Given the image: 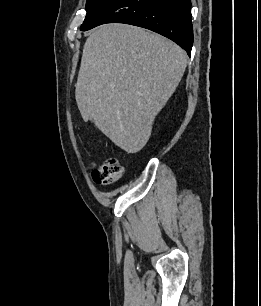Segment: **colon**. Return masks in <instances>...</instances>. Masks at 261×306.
<instances>
[{
  "label": "colon",
  "mask_w": 261,
  "mask_h": 306,
  "mask_svg": "<svg viewBox=\"0 0 261 306\" xmlns=\"http://www.w3.org/2000/svg\"><path fill=\"white\" fill-rule=\"evenodd\" d=\"M123 174V168L115 158L106 160L92 171V178L97 184L106 185L115 182Z\"/></svg>",
  "instance_id": "1"
}]
</instances>
